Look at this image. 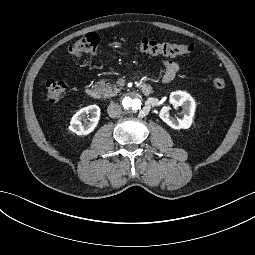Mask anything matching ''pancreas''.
<instances>
[{
    "instance_id": "pancreas-1",
    "label": "pancreas",
    "mask_w": 255,
    "mask_h": 255,
    "mask_svg": "<svg viewBox=\"0 0 255 255\" xmlns=\"http://www.w3.org/2000/svg\"><path fill=\"white\" fill-rule=\"evenodd\" d=\"M97 86L100 88L105 98L113 97L121 90V87L118 88L115 84L106 83L105 80L97 82Z\"/></svg>"
}]
</instances>
